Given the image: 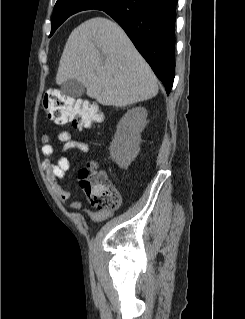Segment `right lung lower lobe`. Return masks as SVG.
I'll list each match as a JSON object with an SVG mask.
<instances>
[{"label": "right lung lower lobe", "instance_id": "98d812e1", "mask_svg": "<svg viewBox=\"0 0 245 319\" xmlns=\"http://www.w3.org/2000/svg\"><path fill=\"white\" fill-rule=\"evenodd\" d=\"M178 0H122L103 9L125 30L169 93L175 75L176 4Z\"/></svg>", "mask_w": 245, "mask_h": 319}]
</instances>
